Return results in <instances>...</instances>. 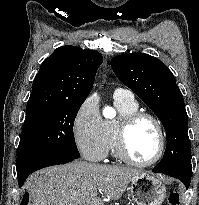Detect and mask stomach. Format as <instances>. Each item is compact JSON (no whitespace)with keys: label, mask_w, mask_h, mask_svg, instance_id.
Masks as SVG:
<instances>
[{"label":"stomach","mask_w":199,"mask_h":205,"mask_svg":"<svg viewBox=\"0 0 199 205\" xmlns=\"http://www.w3.org/2000/svg\"><path fill=\"white\" fill-rule=\"evenodd\" d=\"M129 194L137 205H161L166 197V188L154 176L140 173L132 178Z\"/></svg>","instance_id":"stomach-1"}]
</instances>
